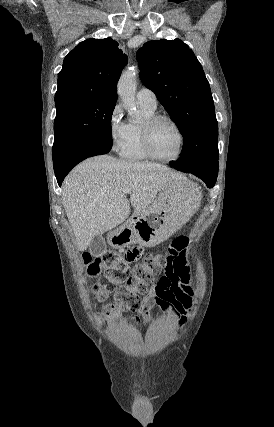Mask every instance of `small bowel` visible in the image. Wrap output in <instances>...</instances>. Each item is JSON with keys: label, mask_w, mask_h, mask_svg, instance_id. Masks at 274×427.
<instances>
[{"label": "small bowel", "mask_w": 274, "mask_h": 427, "mask_svg": "<svg viewBox=\"0 0 274 427\" xmlns=\"http://www.w3.org/2000/svg\"><path fill=\"white\" fill-rule=\"evenodd\" d=\"M168 249L171 252L177 251L181 254L170 253L167 255V260L180 262L171 264L169 269H165L164 276L153 283L142 298L137 314L130 318V323L139 331L151 324L149 311L155 305H171L177 313L187 312L190 309L193 289L190 286V276L185 255L188 247L185 244H179L177 246L171 245ZM180 321L184 323L185 317L182 316Z\"/></svg>", "instance_id": "c3829d8e"}]
</instances>
